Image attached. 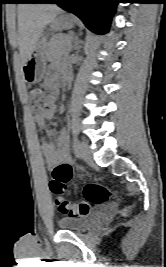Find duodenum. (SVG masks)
Returning a JSON list of instances; mask_svg holds the SVG:
<instances>
[{
    "label": "duodenum",
    "mask_w": 166,
    "mask_h": 267,
    "mask_svg": "<svg viewBox=\"0 0 166 267\" xmlns=\"http://www.w3.org/2000/svg\"><path fill=\"white\" fill-rule=\"evenodd\" d=\"M64 79L66 82H69L70 81V74L69 73L65 74Z\"/></svg>",
    "instance_id": "duodenum-1"
}]
</instances>
